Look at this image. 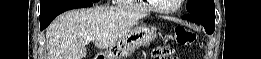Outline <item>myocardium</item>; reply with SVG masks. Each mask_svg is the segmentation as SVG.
I'll use <instances>...</instances> for the list:
<instances>
[{"instance_id": "f54148a6", "label": "myocardium", "mask_w": 261, "mask_h": 59, "mask_svg": "<svg viewBox=\"0 0 261 59\" xmlns=\"http://www.w3.org/2000/svg\"><path fill=\"white\" fill-rule=\"evenodd\" d=\"M184 2V0H179L178 4L174 7V8H171V9H165V8H160L158 7L154 1L152 0H149L147 1V3L149 4V7L157 12V13H161V14H171V13H174L176 11H178L181 6H182V3Z\"/></svg>"}]
</instances>
